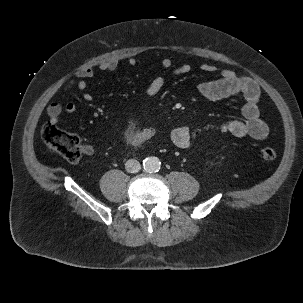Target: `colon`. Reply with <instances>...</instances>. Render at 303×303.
I'll return each instance as SVG.
<instances>
[{
    "label": "colon",
    "mask_w": 303,
    "mask_h": 303,
    "mask_svg": "<svg viewBox=\"0 0 303 303\" xmlns=\"http://www.w3.org/2000/svg\"><path fill=\"white\" fill-rule=\"evenodd\" d=\"M41 137L49 148L61 154L69 162L76 164L81 161L83 150L75 133L60 129L49 122L42 127ZM276 156V151L272 147L267 146L260 150V157L265 161H273Z\"/></svg>",
    "instance_id": "obj_1"
}]
</instances>
